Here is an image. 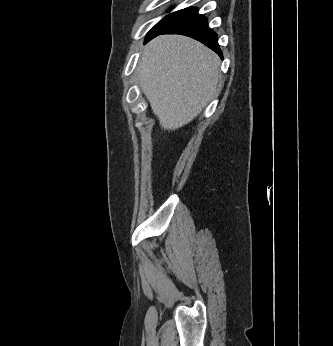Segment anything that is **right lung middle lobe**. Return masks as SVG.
I'll return each instance as SVG.
<instances>
[{
  "label": "right lung middle lobe",
  "instance_id": "1",
  "mask_svg": "<svg viewBox=\"0 0 333 346\" xmlns=\"http://www.w3.org/2000/svg\"><path fill=\"white\" fill-rule=\"evenodd\" d=\"M181 10L173 12L165 16L162 20H160L147 34H153L159 31L164 30L169 24L176 18V16L180 13Z\"/></svg>",
  "mask_w": 333,
  "mask_h": 346
}]
</instances>
